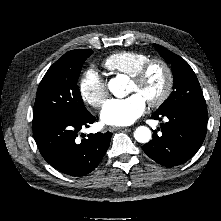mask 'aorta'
Segmentation results:
<instances>
[{"mask_svg":"<svg viewBox=\"0 0 221 221\" xmlns=\"http://www.w3.org/2000/svg\"><path fill=\"white\" fill-rule=\"evenodd\" d=\"M126 84V77L123 75H119L109 81L108 87L114 96L122 98L127 94ZM151 136V130L146 126H139L134 132V138L140 143L149 142Z\"/></svg>","mask_w":221,"mask_h":221,"instance_id":"1","label":"aorta"}]
</instances>
